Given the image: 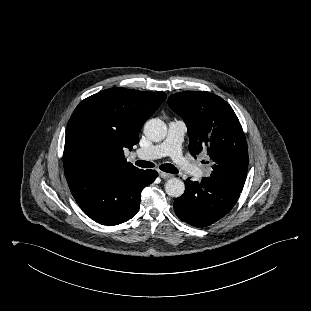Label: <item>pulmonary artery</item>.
<instances>
[{"label":"pulmonary artery","mask_w":311,"mask_h":311,"mask_svg":"<svg viewBox=\"0 0 311 311\" xmlns=\"http://www.w3.org/2000/svg\"><path fill=\"white\" fill-rule=\"evenodd\" d=\"M186 129V124L182 120L171 121L168 125L167 136L163 142L148 148L139 149L136 155L148 160L170 156L182 171L196 178L202 177L206 169L191 164L182 154V142Z\"/></svg>","instance_id":"obj_1"}]
</instances>
